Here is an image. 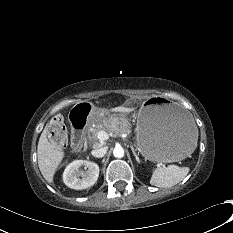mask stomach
Instances as JSON below:
<instances>
[{
  "instance_id": "1",
  "label": "stomach",
  "mask_w": 233,
  "mask_h": 233,
  "mask_svg": "<svg viewBox=\"0 0 233 233\" xmlns=\"http://www.w3.org/2000/svg\"><path fill=\"white\" fill-rule=\"evenodd\" d=\"M103 119L104 113L90 115ZM136 145L139 152L152 162H175L198 148L199 130L195 117L175 102L162 98L146 101L137 116ZM111 115L109 121H117Z\"/></svg>"
}]
</instances>
